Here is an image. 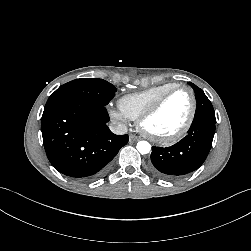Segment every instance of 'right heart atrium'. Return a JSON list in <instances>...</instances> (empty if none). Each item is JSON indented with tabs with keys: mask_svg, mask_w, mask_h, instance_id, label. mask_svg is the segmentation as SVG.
Wrapping results in <instances>:
<instances>
[{
	"mask_svg": "<svg viewBox=\"0 0 251 251\" xmlns=\"http://www.w3.org/2000/svg\"><path fill=\"white\" fill-rule=\"evenodd\" d=\"M108 112L111 118H113L116 121H120V122L127 121V117L122 113L120 109L109 107Z\"/></svg>",
	"mask_w": 251,
	"mask_h": 251,
	"instance_id": "1",
	"label": "right heart atrium"
}]
</instances>
